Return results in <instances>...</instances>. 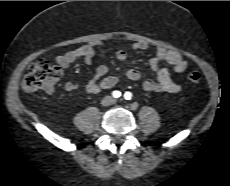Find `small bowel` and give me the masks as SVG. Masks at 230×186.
Segmentation results:
<instances>
[{
  "instance_id": "obj_1",
  "label": "small bowel",
  "mask_w": 230,
  "mask_h": 186,
  "mask_svg": "<svg viewBox=\"0 0 230 186\" xmlns=\"http://www.w3.org/2000/svg\"><path fill=\"white\" fill-rule=\"evenodd\" d=\"M97 43H88L75 50L56 57L55 61L64 69L68 68L73 62L82 60L87 64L92 63V59L96 53ZM133 51H143L147 49V45L143 42H136L131 48ZM116 58L123 64L128 63V54L125 50H118ZM167 63L168 67H160L161 63ZM150 68L156 74V80L147 79L142 83V88L147 92H167L177 93L181 91L182 86L172 80L171 74L182 73L187 69L188 63L184 56L175 50L157 47L155 56L150 60ZM108 67L99 65L94 72L93 77L85 86L88 94H97L102 90L111 89L118 84L121 77L116 75H107ZM123 77L132 81L140 80L141 72L136 69H126ZM65 90L75 91L78 85L74 82H67L64 85Z\"/></svg>"
}]
</instances>
